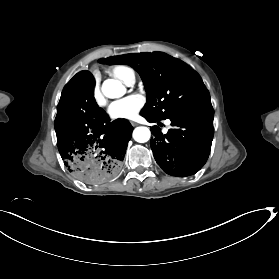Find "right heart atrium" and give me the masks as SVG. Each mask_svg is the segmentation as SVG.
I'll use <instances>...</instances> for the list:
<instances>
[{
  "label": "right heart atrium",
  "instance_id": "d8ad5b80",
  "mask_svg": "<svg viewBox=\"0 0 279 279\" xmlns=\"http://www.w3.org/2000/svg\"><path fill=\"white\" fill-rule=\"evenodd\" d=\"M93 97L94 99L98 102L101 98V93H100V90L98 89V87H95L93 89Z\"/></svg>",
  "mask_w": 279,
  "mask_h": 279
}]
</instances>
